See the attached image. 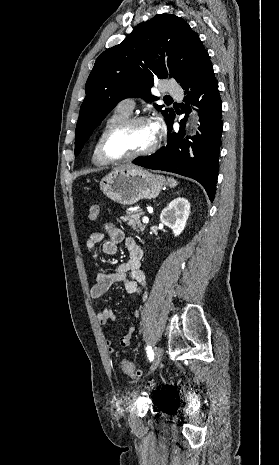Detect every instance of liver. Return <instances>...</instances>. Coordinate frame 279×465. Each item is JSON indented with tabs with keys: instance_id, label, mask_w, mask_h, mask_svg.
<instances>
[{
	"instance_id": "1",
	"label": "liver",
	"mask_w": 279,
	"mask_h": 465,
	"mask_svg": "<svg viewBox=\"0 0 279 465\" xmlns=\"http://www.w3.org/2000/svg\"><path fill=\"white\" fill-rule=\"evenodd\" d=\"M133 167H134V166H132V165H128V166H124V167H122V168H133Z\"/></svg>"
}]
</instances>
